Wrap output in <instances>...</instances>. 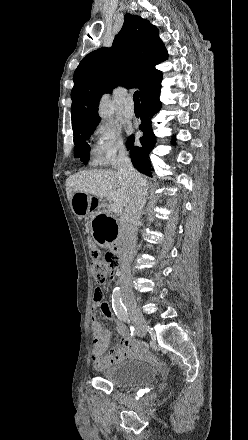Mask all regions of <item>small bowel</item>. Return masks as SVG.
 Masks as SVG:
<instances>
[{"mask_svg": "<svg viewBox=\"0 0 248 440\" xmlns=\"http://www.w3.org/2000/svg\"><path fill=\"white\" fill-rule=\"evenodd\" d=\"M118 270L117 267H112L111 271H109V276H107V281H112V276ZM98 308L101 309L107 319L115 324L116 330L121 336L120 343L113 346L109 351H107V348L111 333L104 329L98 321L96 316ZM91 330L93 338L92 363L96 369H105L127 359H140L147 356L145 345L137 342L130 336L127 327L120 321L111 308L110 303L105 300V297L102 300L94 299V304L91 308Z\"/></svg>", "mask_w": 248, "mask_h": 440, "instance_id": "obj_1", "label": "small bowel"}]
</instances>
